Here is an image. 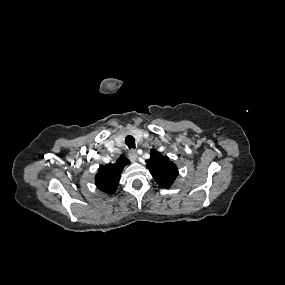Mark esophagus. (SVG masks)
Listing matches in <instances>:
<instances>
[{"mask_svg":"<svg viewBox=\"0 0 285 285\" xmlns=\"http://www.w3.org/2000/svg\"><path fill=\"white\" fill-rule=\"evenodd\" d=\"M128 157H129V159L132 161V162H134V161H136L137 160V153H136V151L135 150H133V149H131L129 152H128Z\"/></svg>","mask_w":285,"mask_h":285,"instance_id":"obj_1","label":"esophagus"}]
</instances>
